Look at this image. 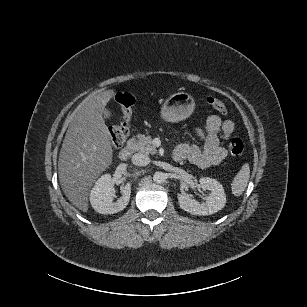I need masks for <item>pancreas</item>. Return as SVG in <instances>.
Returning a JSON list of instances; mask_svg holds the SVG:
<instances>
[{"instance_id": "pancreas-1", "label": "pancreas", "mask_w": 307, "mask_h": 307, "mask_svg": "<svg viewBox=\"0 0 307 307\" xmlns=\"http://www.w3.org/2000/svg\"><path fill=\"white\" fill-rule=\"evenodd\" d=\"M136 150L143 153L156 154L157 149L152 145L151 137L146 134H138L135 136Z\"/></svg>"}]
</instances>
